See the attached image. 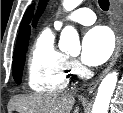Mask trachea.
Here are the masks:
<instances>
[{"mask_svg": "<svg viewBox=\"0 0 123 113\" xmlns=\"http://www.w3.org/2000/svg\"><path fill=\"white\" fill-rule=\"evenodd\" d=\"M100 8L103 11H108L109 9V0H99L98 1Z\"/></svg>", "mask_w": 123, "mask_h": 113, "instance_id": "1", "label": "trachea"}]
</instances>
